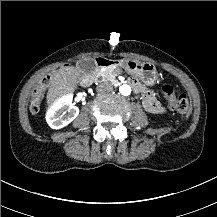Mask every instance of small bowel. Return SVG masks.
<instances>
[{
	"label": "small bowel",
	"mask_w": 217,
	"mask_h": 217,
	"mask_svg": "<svg viewBox=\"0 0 217 217\" xmlns=\"http://www.w3.org/2000/svg\"><path fill=\"white\" fill-rule=\"evenodd\" d=\"M137 90L143 91L144 93L142 104L146 111L150 113H163L165 111L164 106L157 101L151 90L141 87H137Z\"/></svg>",
	"instance_id": "obj_1"
}]
</instances>
